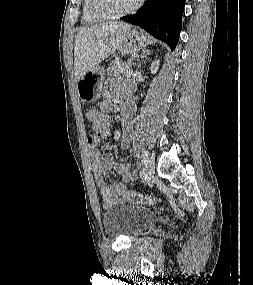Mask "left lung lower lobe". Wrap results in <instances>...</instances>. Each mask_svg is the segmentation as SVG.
<instances>
[{
    "mask_svg": "<svg viewBox=\"0 0 253 285\" xmlns=\"http://www.w3.org/2000/svg\"><path fill=\"white\" fill-rule=\"evenodd\" d=\"M147 0L138 13L121 19L138 25L155 38L164 41L173 51L178 43L185 0Z\"/></svg>",
    "mask_w": 253,
    "mask_h": 285,
    "instance_id": "obj_1",
    "label": "left lung lower lobe"
}]
</instances>
